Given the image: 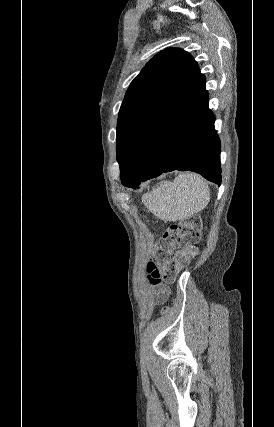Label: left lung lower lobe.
I'll list each match as a JSON object with an SVG mask.
<instances>
[{"instance_id": "0a47b994", "label": "left lung lower lobe", "mask_w": 274, "mask_h": 427, "mask_svg": "<svg viewBox=\"0 0 274 427\" xmlns=\"http://www.w3.org/2000/svg\"><path fill=\"white\" fill-rule=\"evenodd\" d=\"M208 108L205 77L199 73L170 104L146 134L124 186L174 170H190L221 183L220 140Z\"/></svg>"}]
</instances>
